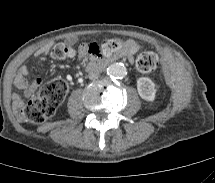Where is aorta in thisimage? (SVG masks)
Returning a JSON list of instances; mask_svg holds the SVG:
<instances>
[{
	"instance_id": "1",
	"label": "aorta",
	"mask_w": 215,
	"mask_h": 183,
	"mask_svg": "<svg viewBox=\"0 0 215 183\" xmlns=\"http://www.w3.org/2000/svg\"><path fill=\"white\" fill-rule=\"evenodd\" d=\"M107 74L114 78H123L127 74L126 67L122 63H113L107 68Z\"/></svg>"
}]
</instances>
